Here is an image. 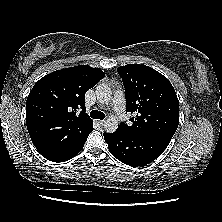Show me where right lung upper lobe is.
<instances>
[{
    "label": "right lung upper lobe",
    "mask_w": 222,
    "mask_h": 222,
    "mask_svg": "<svg viewBox=\"0 0 222 222\" xmlns=\"http://www.w3.org/2000/svg\"><path fill=\"white\" fill-rule=\"evenodd\" d=\"M104 76L99 68L79 65L36 82L27 97L26 124L38 151L80 141L90 133L93 120L86 113L84 97Z\"/></svg>",
    "instance_id": "cb5924a9"
}]
</instances>
